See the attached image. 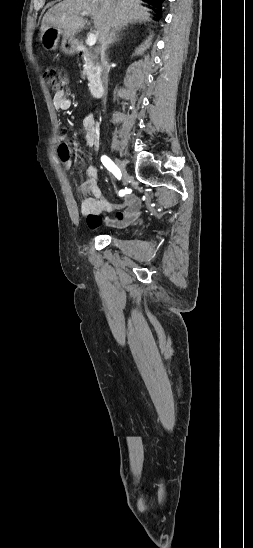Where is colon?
I'll list each match as a JSON object with an SVG mask.
<instances>
[{"label":"colon","instance_id":"colon-1","mask_svg":"<svg viewBox=\"0 0 253 548\" xmlns=\"http://www.w3.org/2000/svg\"><path fill=\"white\" fill-rule=\"evenodd\" d=\"M44 76L49 88L54 92L63 90L68 83V75L66 71L57 65L48 66L45 70ZM62 151L64 154H68V149L65 144Z\"/></svg>","mask_w":253,"mask_h":548}]
</instances>
